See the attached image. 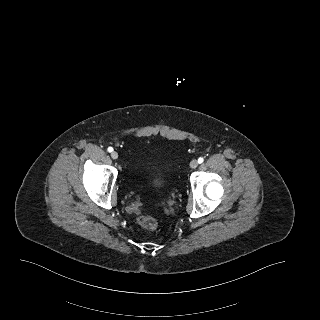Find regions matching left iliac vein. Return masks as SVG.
Returning a JSON list of instances; mask_svg holds the SVG:
<instances>
[{
	"label": "left iliac vein",
	"mask_w": 320,
	"mask_h": 320,
	"mask_svg": "<svg viewBox=\"0 0 320 320\" xmlns=\"http://www.w3.org/2000/svg\"><path fill=\"white\" fill-rule=\"evenodd\" d=\"M197 166H198V161H197V160H192V161L190 162V167H191L192 169H195Z\"/></svg>",
	"instance_id": "obj_1"
}]
</instances>
